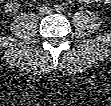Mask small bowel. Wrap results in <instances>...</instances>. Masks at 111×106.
<instances>
[{
  "mask_svg": "<svg viewBox=\"0 0 111 106\" xmlns=\"http://www.w3.org/2000/svg\"><path fill=\"white\" fill-rule=\"evenodd\" d=\"M81 2H90V1H89V0H87V1H83V0H82Z\"/></svg>",
  "mask_w": 111,
  "mask_h": 106,
  "instance_id": "small-bowel-1",
  "label": "small bowel"
}]
</instances>
